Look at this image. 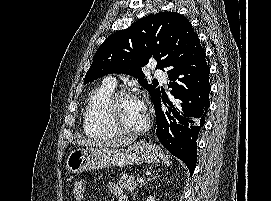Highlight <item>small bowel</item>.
<instances>
[{
	"label": "small bowel",
	"instance_id": "1",
	"mask_svg": "<svg viewBox=\"0 0 271 201\" xmlns=\"http://www.w3.org/2000/svg\"><path fill=\"white\" fill-rule=\"evenodd\" d=\"M111 193L118 198L120 194H123L124 191L122 188L115 182H112L109 186ZM125 194V193H124Z\"/></svg>",
	"mask_w": 271,
	"mask_h": 201
}]
</instances>
